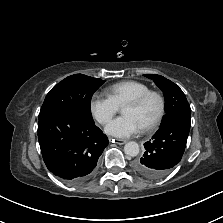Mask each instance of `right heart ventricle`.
<instances>
[{"instance_id": "right-heart-ventricle-1", "label": "right heart ventricle", "mask_w": 223, "mask_h": 223, "mask_svg": "<svg viewBox=\"0 0 223 223\" xmlns=\"http://www.w3.org/2000/svg\"><path fill=\"white\" fill-rule=\"evenodd\" d=\"M150 90L149 86L136 80H126L115 83L107 88L110 98L119 106H124L131 99Z\"/></svg>"}]
</instances>
